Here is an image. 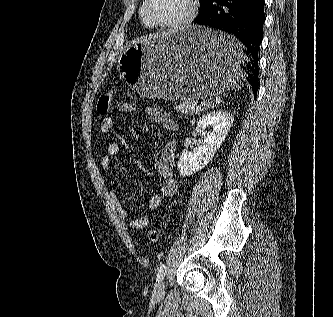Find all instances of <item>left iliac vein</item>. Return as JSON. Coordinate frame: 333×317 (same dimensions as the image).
<instances>
[{
  "instance_id": "4c4485c4",
  "label": "left iliac vein",
  "mask_w": 333,
  "mask_h": 317,
  "mask_svg": "<svg viewBox=\"0 0 333 317\" xmlns=\"http://www.w3.org/2000/svg\"><path fill=\"white\" fill-rule=\"evenodd\" d=\"M165 290H166L165 281L163 279H161V280L157 281V283L155 284L154 290H153V295L156 298L161 299L165 295Z\"/></svg>"
}]
</instances>
